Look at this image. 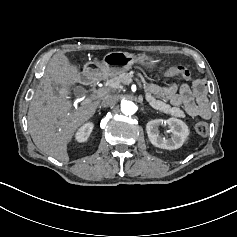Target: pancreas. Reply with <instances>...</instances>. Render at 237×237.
<instances>
[{"label": "pancreas", "mask_w": 237, "mask_h": 237, "mask_svg": "<svg viewBox=\"0 0 237 237\" xmlns=\"http://www.w3.org/2000/svg\"><path fill=\"white\" fill-rule=\"evenodd\" d=\"M130 77L133 79L130 73H122L117 76H114L107 80L106 88L104 90L108 92L109 86L118 87L124 80H128ZM138 77L140 79L139 83L142 84V87L144 89L145 99L153 109L162 112L164 114L170 115L172 117H179V118L185 117V113L183 112V110L176 107H171L170 105L165 104L163 101L157 100L155 96L148 91V86L145 82L143 75L140 74L138 75Z\"/></svg>", "instance_id": "pancreas-1"}]
</instances>
